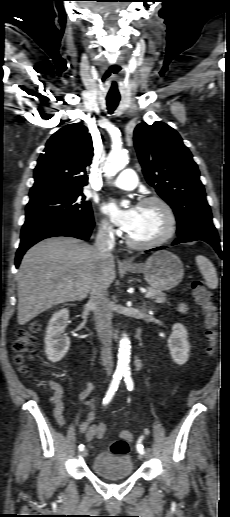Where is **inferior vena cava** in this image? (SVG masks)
Instances as JSON below:
<instances>
[{"label": "inferior vena cava", "instance_id": "inferior-vena-cava-1", "mask_svg": "<svg viewBox=\"0 0 230 517\" xmlns=\"http://www.w3.org/2000/svg\"><path fill=\"white\" fill-rule=\"evenodd\" d=\"M115 245V238L111 228L108 225H103L99 228L95 248L98 253V257L101 261H106L112 256L111 251ZM103 267V265H102ZM108 283L104 276V271L101 270L97 274V277L91 284L90 291V302L95 307V322L96 329L98 332L99 339L101 340V360L102 364L110 376L113 370V358H112V314H111V303L108 299Z\"/></svg>", "mask_w": 230, "mask_h": 517}]
</instances>
